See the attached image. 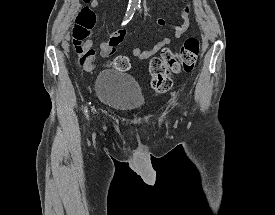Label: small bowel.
I'll return each mask as SVG.
<instances>
[{"label":"small bowel","mask_w":275,"mask_h":215,"mask_svg":"<svg viewBox=\"0 0 275 215\" xmlns=\"http://www.w3.org/2000/svg\"><path fill=\"white\" fill-rule=\"evenodd\" d=\"M184 1V0H182ZM90 6L93 9H97L99 7L98 0H91ZM182 23L179 25H176L174 27L173 35L172 37H166L162 41L158 42L151 50H141L139 47H134L132 50V54L135 58L139 60H146L150 58L155 52L160 50L163 46L171 44L174 40L179 39L188 29L189 27V18H190V6L188 3L184 4L181 8L180 12ZM167 22L163 18L157 19V25L163 27L166 26ZM126 36L125 29H120L115 32H113L109 40L107 42H103L99 45L98 50L100 52V55L103 58L109 57L113 54L115 47L119 45L122 40ZM86 48H92L93 47V41L91 39H87L85 42ZM95 67V64L93 62V59H90L89 62L85 65V70L90 71Z\"/></svg>","instance_id":"1"}]
</instances>
